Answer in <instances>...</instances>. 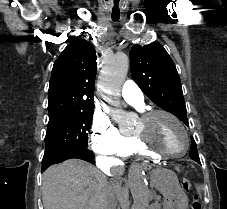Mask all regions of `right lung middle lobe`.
Returning a JSON list of instances; mask_svg holds the SVG:
<instances>
[{"label": "right lung middle lobe", "mask_w": 227, "mask_h": 209, "mask_svg": "<svg viewBox=\"0 0 227 209\" xmlns=\"http://www.w3.org/2000/svg\"><path fill=\"white\" fill-rule=\"evenodd\" d=\"M48 111L49 122L42 168L47 166V158L52 155L88 150L94 102L93 99L83 98L61 99L55 101Z\"/></svg>", "instance_id": "1"}]
</instances>
